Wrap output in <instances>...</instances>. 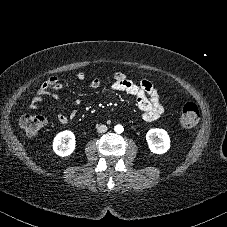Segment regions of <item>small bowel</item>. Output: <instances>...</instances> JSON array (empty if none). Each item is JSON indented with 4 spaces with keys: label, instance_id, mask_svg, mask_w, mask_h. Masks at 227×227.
I'll use <instances>...</instances> for the list:
<instances>
[{
    "label": "small bowel",
    "instance_id": "1",
    "mask_svg": "<svg viewBox=\"0 0 227 227\" xmlns=\"http://www.w3.org/2000/svg\"><path fill=\"white\" fill-rule=\"evenodd\" d=\"M85 78L83 73L76 75V80L81 81ZM101 80L94 78L90 82V88L96 90L100 87ZM64 86L59 82L56 76H52L45 80L41 86L37 89L36 95L32 98L29 103V108L37 110L40 108L41 103L45 99L52 101H58L59 95L57 91L62 90ZM114 92H126L137 99V106L142 112L145 121L151 122L157 120L164 111V108L160 102L159 94L156 87L148 80H141L134 82L129 80L123 73H116L112 84L108 88V95ZM80 99H74V107L71 109L69 114L59 113L57 118L58 121L67 125L69 122L74 120L79 112Z\"/></svg>",
    "mask_w": 227,
    "mask_h": 227
}]
</instances>
